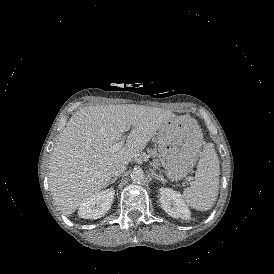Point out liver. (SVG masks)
<instances>
[{
    "label": "liver",
    "instance_id": "6515ba94",
    "mask_svg": "<svg viewBox=\"0 0 274 274\" xmlns=\"http://www.w3.org/2000/svg\"><path fill=\"white\" fill-rule=\"evenodd\" d=\"M185 120L170 110L138 104L87 105L74 113L50 158L49 188L57 207L71 216L81 202L107 187L113 170L128 165L159 133ZM131 124L124 147L113 150Z\"/></svg>",
    "mask_w": 274,
    "mask_h": 274
}]
</instances>
